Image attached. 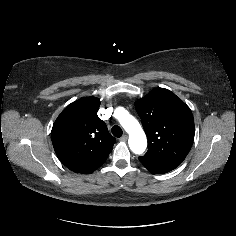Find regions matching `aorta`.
Returning <instances> with one entry per match:
<instances>
[{
  "label": "aorta",
  "mask_w": 236,
  "mask_h": 236,
  "mask_svg": "<svg viewBox=\"0 0 236 236\" xmlns=\"http://www.w3.org/2000/svg\"><path fill=\"white\" fill-rule=\"evenodd\" d=\"M115 116L129 134L128 144L131 151L135 154H142L147 147V138L138 120L122 107L116 108Z\"/></svg>",
  "instance_id": "obj_1"
}]
</instances>
